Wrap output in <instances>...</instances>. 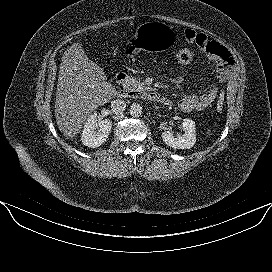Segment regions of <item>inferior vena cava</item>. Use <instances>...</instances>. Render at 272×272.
Here are the masks:
<instances>
[{"label":"inferior vena cava","mask_w":272,"mask_h":272,"mask_svg":"<svg viewBox=\"0 0 272 272\" xmlns=\"http://www.w3.org/2000/svg\"><path fill=\"white\" fill-rule=\"evenodd\" d=\"M126 103L124 100L116 99L111 102V110L114 114H120L125 111Z\"/></svg>","instance_id":"602c4592"}]
</instances>
